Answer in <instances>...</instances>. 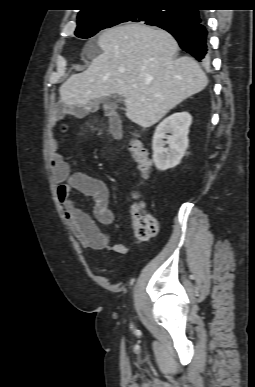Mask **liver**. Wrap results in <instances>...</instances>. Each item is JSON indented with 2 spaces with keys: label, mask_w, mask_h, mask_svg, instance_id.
I'll return each mask as SVG.
<instances>
[{
  "label": "liver",
  "mask_w": 255,
  "mask_h": 387,
  "mask_svg": "<svg viewBox=\"0 0 255 387\" xmlns=\"http://www.w3.org/2000/svg\"><path fill=\"white\" fill-rule=\"evenodd\" d=\"M97 44L103 52L59 88L66 107L119 94L128 119L148 128L207 86L194 59L176 57L178 44L165 30L129 23L104 31Z\"/></svg>",
  "instance_id": "liver-1"
}]
</instances>
